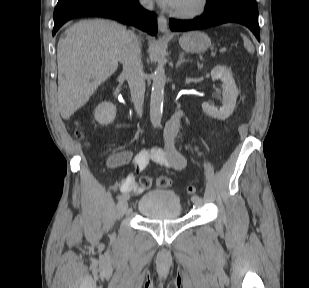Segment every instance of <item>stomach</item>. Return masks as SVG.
I'll use <instances>...</instances> for the list:
<instances>
[{"label":"stomach","mask_w":309,"mask_h":288,"mask_svg":"<svg viewBox=\"0 0 309 288\" xmlns=\"http://www.w3.org/2000/svg\"><path fill=\"white\" fill-rule=\"evenodd\" d=\"M179 44L182 49L188 52H203L211 45L210 38L203 32L191 31L184 33Z\"/></svg>","instance_id":"obj_1"}]
</instances>
